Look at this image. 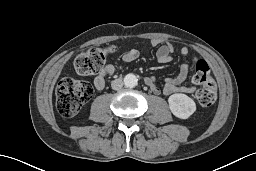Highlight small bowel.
<instances>
[{
    "label": "small bowel",
    "instance_id": "obj_1",
    "mask_svg": "<svg viewBox=\"0 0 256 171\" xmlns=\"http://www.w3.org/2000/svg\"><path fill=\"white\" fill-rule=\"evenodd\" d=\"M152 46L157 47L156 57L158 62L166 64L171 62L172 53L174 52V46L160 38H155L151 41ZM181 54L186 56L189 54L190 50L188 47H182L180 50ZM138 57V51L135 49L125 52L122 56V59L126 62L134 61ZM199 61L198 59H195ZM115 67L112 64H106L100 70V72L94 78V86L97 90H102L105 86V79L107 76L114 74ZM190 65L184 64L181 66L179 74L176 77L167 78L164 82L163 88L160 89L157 87L156 80L153 77L146 79L147 85L150 89L158 94L162 92L164 95L168 96L173 93L181 92H192L194 90L193 86H183V83L189 76Z\"/></svg>",
    "mask_w": 256,
    "mask_h": 171
}]
</instances>
